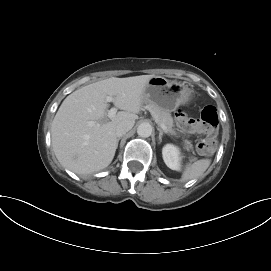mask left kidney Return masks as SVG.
I'll list each match as a JSON object with an SVG mask.
<instances>
[{
	"label": "left kidney",
	"mask_w": 271,
	"mask_h": 271,
	"mask_svg": "<svg viewBox=\"0 0 271 271\" xmlns=\"http://www.w3.org/2000/svg\"><path fill=\"white\" fill-rule=\"evenodd\" d=\"M162 155L163 160L167 167H169L172 170L179 171L180 170V151L179 148L172 145V144H166L162 149Z\"/></svg>",
	"instance_id": "obj_1"
}]
</instances>
